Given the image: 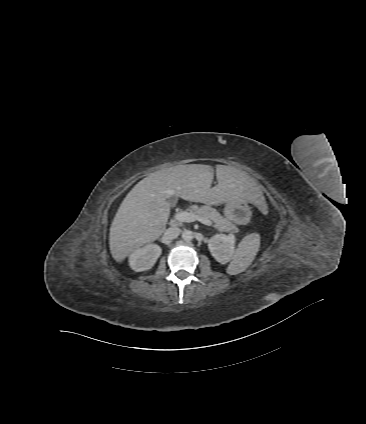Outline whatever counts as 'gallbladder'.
<instances>
[{
  "mask_svg": "<svg viewBox=\"0 0 366 424\" xmlns=\"http://www.w3.org/2000/svg\"><path fill=\"white\" fill-rule=\"evenodd\" d=\"M169 201H170V203H171V204H174V203H175V201H176V198H175V197H171V198L169 199Z\"/></svg>",
  "mask_w": 366,
  "mask_h": 424,
  "instance_id": "obj_1",
  "label": "gallbladder"
}]
</instances>
